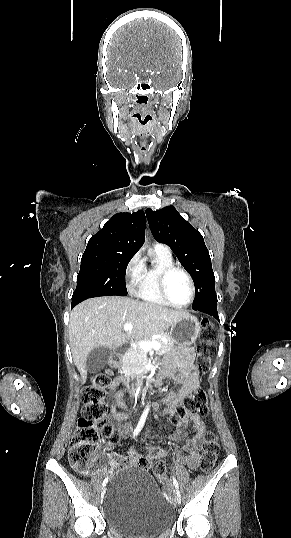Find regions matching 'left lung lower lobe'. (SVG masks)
Segmentation results:
<instances>
[{
  "instance_id": "obj_1",
  "label": "left lung lower lobe",
  "mask_w": 291,
  "mask_h": 538,
  "mask_svg": "<svg viewBox=\"0 0 291 538\" xmlns=\"http://www.w3.org/2000/svg\"><path fill=\"white\" fill-rule=\"evenodd\" d=\"M192 308L196 311L198 310V311L207 313L219 320L218 313H217V301L215 300L210 301L206 303L205 305H201V306L192 305Z\"/></svg>"
}]
</instances>
